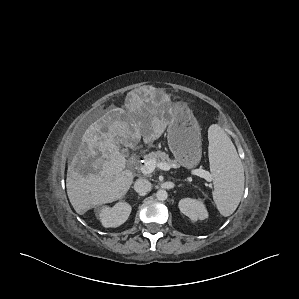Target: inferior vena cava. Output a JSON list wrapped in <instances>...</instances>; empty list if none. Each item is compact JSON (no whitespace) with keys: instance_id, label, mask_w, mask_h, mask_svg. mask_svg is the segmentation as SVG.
I'll use <instances>...</instances> for the list:
<instances>
[{"instance_id":"602c4592","label":"inferior vena cava","mask_w":299,"mask_h":299,"mask_svg":"<svg viewBox=\"0 0 299 299\" xmlns=\"http://www.w3.org/2000/svg\"><path fill=\"white\" fill-rule=\"evenodd\" d=\"M152 188V184L149 180L140 178L134 183V190L137 193H146L149 192Z\"/></svg>"}]
</instances>
